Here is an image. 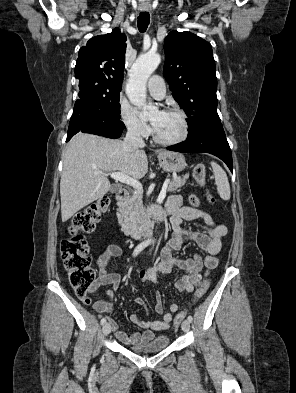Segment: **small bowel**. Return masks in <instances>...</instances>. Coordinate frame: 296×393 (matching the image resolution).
<instances>
[{
  "mask_svg": "<svg viewBox=\"0 0 296 393\" xmlns=\"http://www.w3.org/2000/svg\"><path fill=\"white\" fill-rule=\"evenodd\" d=\"M166 213L170 218L173 226V235L167 241L161 251V260L148 270L139 271L140 279L143 282L157 284V274H170L174 268L178 267L184 270L183 276L175 282V287L180 292H192L200 284L201 280L215 269L218 265L216 255L221 249L222 239L227 234V227L222 223H217L213 220L211 215L201 209L187 207L182 205V198L180 196L171 197L166 205ZM202 219L207 225L206 232L195 231L190 228L181 227L183 220L193 221ZM194 242L204 253V256L194 254L190 258L179 259L174 256V253L179 251L182 245L187 242ZM123 254L121 246L112 244L98 256L96 265L99 272V280L97 285H111L113 291H117L121 285V277L117 273L108 272L107 267L110 260L114 257H119ZM112 290H106V300H98L92 303L91 297H80L81 301L86 305H91L98 313L113 312V297ZM135 303L144 307L146 316L148 310L143 298H135ZM177 303H171L169 310H164L163 296L157 292L155 294L154 311L161 315L160 319L149 320L141 319L137 315L130 317L131 322L137 327L145 329L143 333H133L128 335L120 330L117 323L108 318V323L112 331L115 333L119 341L126 345L138 346L150 342L158 331L168 329L173 320L174 314L178 311Z\"/></svg>",
  "mask_w": 296,
  "mask_h": 393,
  "instance_id": "obj_1",
  "label": "small bowel"
}]
</instances>
